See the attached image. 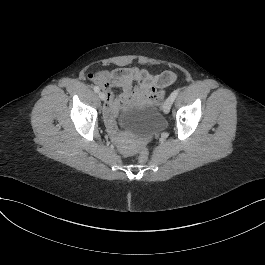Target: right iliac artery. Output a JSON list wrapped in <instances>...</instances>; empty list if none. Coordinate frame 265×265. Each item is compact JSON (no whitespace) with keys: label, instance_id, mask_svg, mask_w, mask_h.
Instances as JSON below:
<instances>
[{"label":"right iliac artery","instance_id":"82829eb1","mask_svg":"<svg viewBox=\"0 0 265 265\" xmlns=\"http://www.w3.org/2000/svg\"><path fill=\"white\" fill-rule=\"evenodd\" d=\"M93 90H94L96 93H98V92L100 91L99 87H97V86H95V87L93 88Z\"/></svg>","mask_w":265,"mask_h":265}]
</instances>
